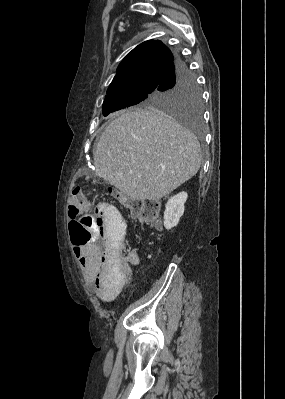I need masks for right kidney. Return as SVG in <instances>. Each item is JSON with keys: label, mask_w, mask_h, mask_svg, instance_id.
<instances>
[{"label": "right kidney", "mask_w": 285, "mask_h": 399, "mask_svg": "<svg viewBox=\"0 0 285 399\" xmlns=\"http://www.w3.org/2000/svg\"><path fill=\"white\" fill-rule=\"evenodd\" d=\"M187 193L180 192L177 195L171 197L165 206L164 212V227L167 230L177 226L181 216L184 213V204L187 200Z\"/></svg>", "instance_id": "right-kidney-1"}]
</instances>
